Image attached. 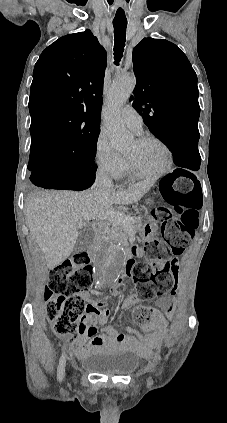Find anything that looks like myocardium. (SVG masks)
I'll return each mask as SVG.
<instances>
[{
    "mask_svg": "<svg viewBox=\"0 0 227 423\" xmlns=\"http://www.w3.org/2000/svg\"><path fill=\"white\" fill-rule=\"evenodd\" d=\"M136 142L141 143V144H145V143H149V142H156L157 144H159L165 150L166 155H167V160H166L164 167L159 172L150 174V173H144V172L139 171L136 168L135 163L132 160V158L126 155L128 163H129L130 172L133 175H135L139 178L145 179V180L155 181V180L163 178L164 176H166L172 170V167L174 165V153H173L170 145L163 138L156 136V135L149 134V135H143V136L138 137L136 139Z\"/></svg>",
    "mask_w": 227,
    "mask_h": 423,
    "instance_id": "myocardium-1",
    "label": "myocardium"
}]
</instances>
